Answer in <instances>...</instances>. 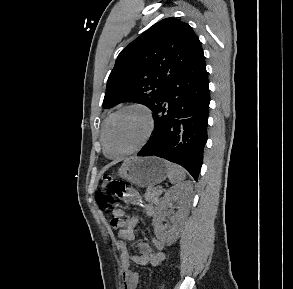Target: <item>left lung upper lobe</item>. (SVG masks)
<instances>
[{
	"label": "left lung upper lobe",
	"mask_w": 293,
	"mask_h": 289,
	"mask_svg": "<svg viewBox=\"0 0 293 289\" xmlns=\"http://www.w3.org/2000/svg\"><path fill=\"white\" fill-rule=\"evenodd\" d=\"M185 22L165 18L131 42L117 57L103 101L105 109L122 102L153 108L166 87L202 52Z\"/></svg>",
	"instance_id": "5c2ea615"
}]
</instances>
